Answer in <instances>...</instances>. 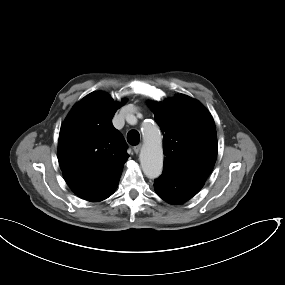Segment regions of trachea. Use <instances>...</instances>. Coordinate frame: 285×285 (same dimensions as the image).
<instances>
[{
	"mask_svg": "<svg viewBox=\"0 0 285 285\" xmlns=\"http://www.w3.org/2000/svg\"><path fill=\"white\" fill-rule=\"evenodd\" d=\"M127 141L130 145H137L140 141V134L136 130H131L127 134Z\"/></svg>",
	"mask_w": 285,
	"mask_h": 285,
	"instance_id": "obj_1",
	"label": "trachea"
}]
</instances>
